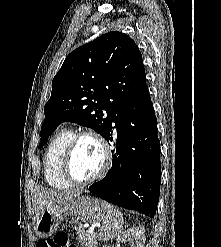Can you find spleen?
<instances>
[{"label": "spleen", "mask_w": 221, "mask_h": 247, "mask_svg": "<svg viewBox=\"0 0 221 247\" xmlns=\"http://www.w3.org/2000/svg\"><path fill=\"white\" fill-rule=\"evenodd\" d=\"M106 209L107 215L102 229L99 232V235L103 240L118 237L122 232L124 222L122 213L116 207L107 204Z\"/></svg>", "instance_id": "1"}]
</instances>
